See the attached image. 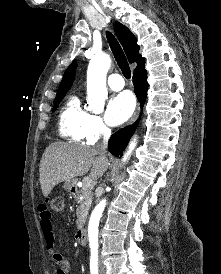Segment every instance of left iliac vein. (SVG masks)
<instances>
[{
    "instance_id": "1",
    "label": "left iliac vein",
    "mask_w": 221,
    "mask_h": 274,
    "mask_svg": "<svg viewBox=\"0 0 221 274\" xmlns=\"http://www.w3.org/2000/svg\"><path fill=\"white\" fill-rule=\"evenodd\" d=\"M99 270H100V274H104V268L101 263L99 264Z\"/></svg>"
}]
</instances>
